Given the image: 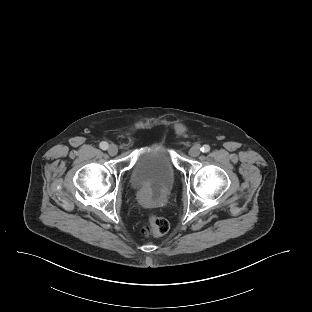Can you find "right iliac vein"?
<instances>
[{
	"label": "right iliac vein",
	"instance_id": "63e3f726",
	"mask_svg": "<svg viewBox=\"0 0 312 312\" xmlns=\"http://www.w3.org/2000/svg\"><path fill=\"white\" fill-rule=\"evenodd\" d=\"M108 153L112 156L116 155L118 153V148L116 145L114 144H111L109 147H108Z\"/></svg>",
	"mask_w": 312,
	"mask_h": 312
}]
</instances>
